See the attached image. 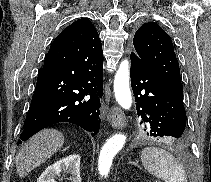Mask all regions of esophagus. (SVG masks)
Wrapping results in <instances>:
<instances>
[{"mask_svg":"<svg viewBox=\"0 0 211 182\" xmlns=\"http://www.w3.org/2000/svg\"><path fill=\"white\" fill-rule=\"evenodd\" d=\"M122 114L121 110L119 108H114V115L113 116H108V120L109 122L113 125L116 126L117 125V116H120Z\"/></svg>","mask_w":211,"mask_h":182,"instance_id":"obj_1","label":"esophagus"}]
</instances>
